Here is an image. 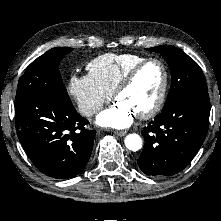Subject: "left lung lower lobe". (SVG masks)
Listing matches in <instances>:
<instances>
[{
  "mask_svg": "<svg viewBox=\"0 0 221 221\" xmlns=\"http://www.w3.org/2000/svg\"><path fill=\"white\" fill-rule=\"evenodd\" d=\"M209 114L208 91L192 93L163 110L141 132L145 145L138 158L140 169L152 176L183 170L206 137Z\"/></svg>",
  "mask_w": 221,
  "mask_h": 221,
  "instance_id": "1",
  "label": "left lung lower lobe"
}]
</instances>
